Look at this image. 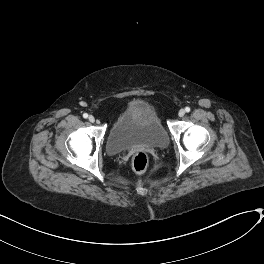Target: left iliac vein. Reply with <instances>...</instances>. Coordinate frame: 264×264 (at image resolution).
Returning a JSON list of instances; mask_svg holds the SVG:
<instances>
[{
    "instance_id": "obj_1",
    "label": "left iliac vein",
    "mask_w": 264,
    "mask_h": 264,
    "mask_svg": "<svg viewBox=\"0 0 264 264\" xmlns=\"http://www.w3.org/2000/svg\"><path fill=\"white\" fill-rule=\"evenodd\" d=\"M184 114H185L184 109H180L179 112H178V115H179L180 117H182V116H184Z\"/></svg>"
}]
</instances>
